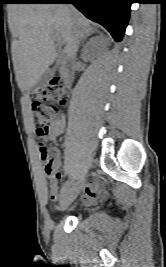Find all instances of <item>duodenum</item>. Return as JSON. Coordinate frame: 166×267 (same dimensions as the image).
Returning a JSON list of instances; mask_svg holds the SVG:
<instances>
[{
    "instance_id": "obj_1",
    "label": "duodenum",
    "mask_w": 166,
    "mask_h": 267,
    "mask_svg": "<svg viewBox=\"0 0 166 267\" xmlns=\"http://www.w3.org/2000/svg\"><path fill=\"white\" fill-rule=\"evenodd\" d=\"M60 76L65 84L70 85L74 80V67L72 65L65 64L60 67Z\"/></svg>"
}]
</instances>
